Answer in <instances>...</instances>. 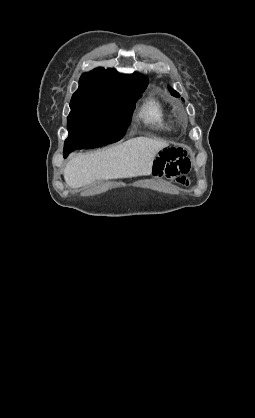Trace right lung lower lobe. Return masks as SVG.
Instances as JSON below:
<instances>
[{
	"label": "right lung lower lobe",
	"mask_w": 255,
	"mask_h": 418,
	"mask_svg": "<svg viewBox=\"0 0 255 418\" xmlns=\"http://www.w3.org/2000/svg\"><path fill=\"white\" fill-rule=\"evenodd\" d=\"M71 151L67 148H64V157H67V155L70 153Z\"/></svg>",
	"instance_id": "1"
}]
</instances>
